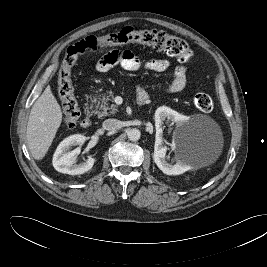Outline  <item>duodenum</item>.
Here are the masks:
<instances>
[{
    "instance_id": "410a0bca",
    "label": "duodenum",
    "mask_w": 267,
    "mask_h": 267,
    "mask_svg": "<svg viewBox=\"0 0 267 267\" xmlns=\"http://www.w3.org/2000/svg\"><path fill=\"white\" fill-rule=\"evenodd\" d=\"M137 99H138V104L139 105H144L146 100L148 99V96L143 94V95L137 97ZM90 124H91V117H89V116H86L81 120V126L83 128L89 127Z\"/></svg>"
}]
</instances>
